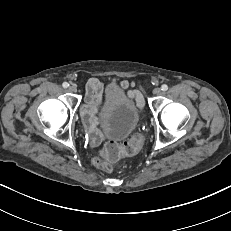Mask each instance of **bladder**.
I'll return each mask as SVG.
<instances>
[{
    "instance_id": "obj_1",
    "label": "bladder",
    "mask_w": 231,
    "mask_h": 231,
    "mask_svg": "<svg viewBox=\"0 0 231 231\" xmlns=\"http://www.w3.org/2000/svg\"><path fill=\"white\" fill-rule=\"evenodd\" d=\"M100 114L104 123L105 134L116 140L128 137L140 119L137 107L116 82H110L106 86L105 99Z\"/></svg>"
}]
</instances>
